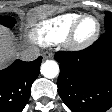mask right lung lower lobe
Masks as SVG:
<instances>
[{
	"label": "right lung lower lobe",
	"instance_id": "1",
	"mask_svg": "<svg viewBox=\"0 0 112 112\" xmlns=\"http://www.w3.org/2000/svg\"><path fill=\"white\" fill-rule=\"evenodd\" d=\"M42 57L32 62L16 60L0 71V112H21L39 75Z\"/></svg>",
	"mask_w": 112,
	"mask_h": 112
}]
</instances>
